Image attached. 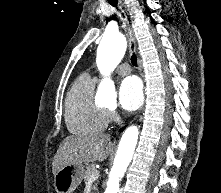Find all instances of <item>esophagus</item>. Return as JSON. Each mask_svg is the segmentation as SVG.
<instances>
[{
  "label": "esophagus",
  "instance_id": "34e87169",
  "mask_svg": "<svg viewBox=\"0 0 221 193\" xmlns=\"http://www.w3.org/2000/svg\"><path fill=\"white\" fill-rule=\"evenodd\" d=\"M119 3H120V5L125 9V11H127V6H126V4L123 2V0H119ZM128 25H129V30H130L131 37H132V39H133V41H134V44H135V36H134L133 28H132L131 24H129V22H128ZM138 63H139V70L142 71V66H141V61H140V59H138Z\"/></svg>",
  "mask_w": 221,
  "mask_h": 193
}]
</instances>
